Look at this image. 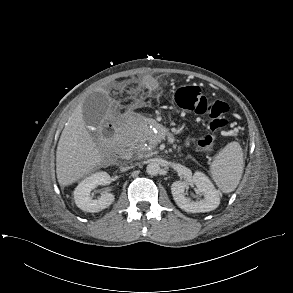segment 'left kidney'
<instances>
[{
  "instance_id": "left-kidney-1",
  "label": "left kidney",
  "mask_w": 293,
  "mask_h": 293,
  "mask_svg": "<svg viewBox=\"0 0 293 293\" xmlns=\"http://www.w3.org/2000/svg\"><path fill=\"white\" fill-rule=\"evenodd\" d=\"M192 182L203 194L204 199L193 201L185 196V190L189 183L185 181H175L171 185V192L176 204L188 213L209 212L216 209L220 204L219 191L214 187L211 180L202 172H195Z\"/></svg>"
}]
</instances>
